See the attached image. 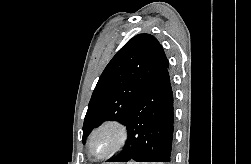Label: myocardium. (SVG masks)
Returning <instances> with one entry per match:
<instances>
[{
    "label": "myocardium",
    "mask_w": 251,
    "mask_h": 164,
    "mask_svg": "<svg viewBox=\"0 0 251 164\" xmlns=\"http://www.w3.org/2000/svg\"><path fill=\"white\" fill-rule=\"evenodd\" d=\"M104 134H108L111 139L110 146L103 153L94 151L95 141ZM129 139L127 125L119 119H107L95 127L89 135L87 149L89 155L96 160H105L120 152Z\"/></svg>",
    "instance_id": "f54148a6"
}]
</instances>
